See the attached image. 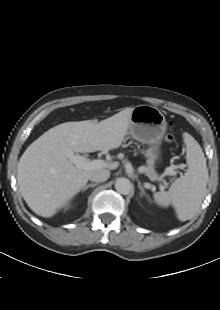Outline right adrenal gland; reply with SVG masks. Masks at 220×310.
<instances>
[{
  "label": "right adrenal gland",
  "mask_w": 220,
  "mask_h": 310,
  "mask_svg": "<svg viewBox=\"0 0 220 310\" xmlns=\"http://www.w3.org/2000/svg\"><path fill=\"white\" fill-rule=\"evenodd\" d=\"M97 185H98V183L88 184V185L84 186V187L82 188L81 191L84 192V191H86L89 187L94 188V187L97 186Z\"/></svg>",
  "instance_id": "1"
}]
</instances>
